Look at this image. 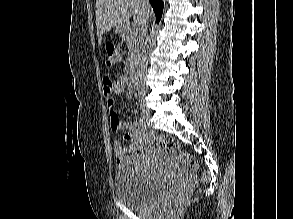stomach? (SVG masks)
<instances>
[{
  "instance_id": "obj_1",
  "label": "stomach",
  "mask_w": 293,
  "mask_h": 219,
  "mask_svg": "<svg viewBox=\"0 0 293 219\" xmlns=\"http://www.w3.org/2000/svg\"><path fill=\"white\" fill-rule=\"evenodd\" d=\"M123 32V28H120V27H116L115 29V34H120Z\"/></svg>"
}]
</instances>
